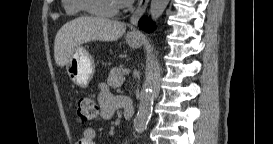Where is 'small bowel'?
I'll return each mask as SVG.
<instances>
[{"label":"small bowel","mask_w":273,"mask_h":144,"mask_svg":"<svg viewBox=\"0 0 273 144\" xmlns=\"http://www.w3.org/2000/svg\"><path fill=\"white\" fill-rule=\"evenodd\" d=\"M100 116L105 120H110L117 112L123 109L121 97L115 96L104 84L100 86L98 94ZM97 132L94 128L88 127L83 131L82 137L76 144H95Z\"/></svg>","instance_id":"c3829d8e"}]
</instances>
